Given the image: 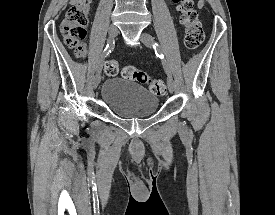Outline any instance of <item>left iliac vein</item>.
<instances>
[{
	"label": "left iliac vein",
	"instance_id": "4c4485c4",
	"mask_svg": "<svg viewBox=\"0 0 275 215\" xmlns=\"http://www.w3.org/2000/svg\"><path fill=\"white\" fill-rule=\"evenodd\" d=\"M141 41L147 46V47H152L154 43V38L151 34L147 32H143L140 36ZM168 88L170 93H173L175 90V83L174 80L168 76Z\"/></svg>",
	"mask_w": 275,
	"mask_h": 215
}]
</instances>
